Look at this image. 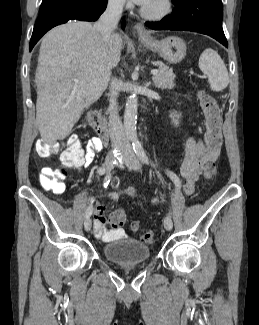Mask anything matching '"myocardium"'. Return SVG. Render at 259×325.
<instances>
[{
	"label": "myocardium",
	"mask_w": 259,
	"mask_h": 325,
	"mask_svg": "<svg viewBox=\"0 0 259 325\" xmlns=\"http://www.w3.org/2000/svg\"><path fill=\"white\" fill-rule=\"evenodd\" d=\"M159 6L157 9L152 10L147 6L141 9V14L150 20H162L169 16L173 11L172 0H159Z\"/></svg>",
	"instance_id": "f54148a6"
}]
</instances>
